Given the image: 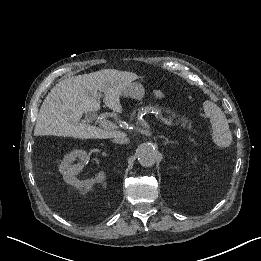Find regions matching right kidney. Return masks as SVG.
Here are the masks:
<instances>
[{
	"mask_svg": "<svg viewBox=\"0 0 261 261\" xmlns=\"http://www.w3.org/2000/svg\"><path fill=\"white\" fill-rule=\"evenodd\" d=\"M86 156L87 154L85 151H74L70 154L65 155L63 161L59 166V171L63 175L64 181L79 189H89L95 183H100L105 180L104 172H100L94 179H86L83 181L75 177V175L78 174V169L80 168V165H71V162H73L77 157H79L80 159H85Z\"/></svg>",
	"mask_w": 261,
	"mask_h": 261,
	"instance_id": "1",
	"label": "right kidney"
}]
</instances>
